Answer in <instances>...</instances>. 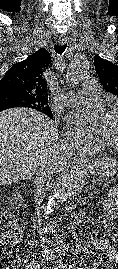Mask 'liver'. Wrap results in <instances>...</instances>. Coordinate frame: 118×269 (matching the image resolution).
Here are the masks:
<instances>
[{"label": "liver", "mask_w": 118, "mask_h": 269, "mask_svg": "<svg viewBox=\"0 0 118 269\" xmlns=\"http://www.w3.org/2000/svg\"><path fill=\"white\" fill-rule=\"evenodd\" d=\"M57 140L56 124L41 112L28 108L0 112V185L31 178L53 155ZM57 156L63 167L66 161L60 149Z\"/></svg>", "instance_id": "6515ba94"}]
</instances>
